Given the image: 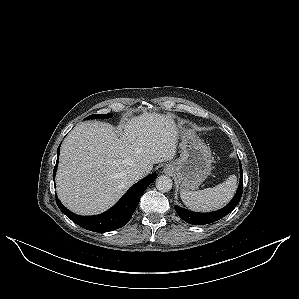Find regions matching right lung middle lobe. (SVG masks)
Returning a JSON list of instances; mask_svg holds the SVG:
<instances>
[{
    "label": "right lung middle lobe",
    "mask_w": 299,
    "mask_h": 299,
    "mask_svg": "<svg viewBox=\"0 0 299 299\" xmlns=\"http://www.w3.org/2000/svg\"><path fill=\"white\" fill-rule=\"evenodd\" d=\"M112 117V114H93V115H90L88 117H86L85 119H108V118H111Z\"/></svg>",
    "instance_id": "1"
}]
</instances>
